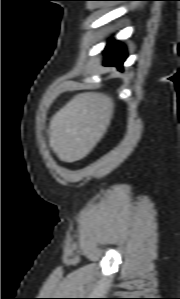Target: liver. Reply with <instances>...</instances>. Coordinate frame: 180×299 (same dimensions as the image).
Masks as SVG:
<instances>
[{"mask_svg":"<svg viewBox=\"0 0 180 299\" xmlns=\"http://www.w3.org/2000/svg\"><path fill=\"white\" fill-rule=\"evenodd\" d=\"M113 99L98 92L80 93L50 120L49 145L67 163L86 157L106 133L113 117Z\"/></svg>","mask_w":180,"mask_h":299,"instance_id":"obj_1","label":"liver"}]
</instances>
